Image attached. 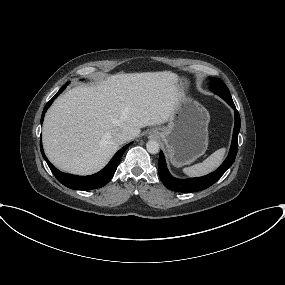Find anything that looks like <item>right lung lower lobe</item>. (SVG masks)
Returning a JSON list of instances; mask_svg holds the SVG:
<instances>
[{"instance_id": "obj_1", "label": "right lung lower lobe", "mask_w": 285, "mask_h": 285, "mask_svg": "<svg viewBox=\"0 0 285 285\" xmlns=\"http://www.w3.org/2000/svg\"><path fill=\"white\" fill-rule=\"evenodd\" d=\"M66 84L56 93V95L46 104L42 116H41V122H43L44 114L49 108V106L52 104L53 100L65 89ZM131 145V143L125 145L123 148H121L111 159V161L107 164V166L102 169L100 172L90 175V176H75L67 173H63L56 169L46 158L43 146L40 141V149L43 158L46 160L50 170L54 174V176L58 179L60 183H62L64 186L75 189V190H91V189H97L104 185H106L111 178L114 175V172L116 171L121 157L123 153L126 151V149Z\"/></svg>"}]
</instances>
